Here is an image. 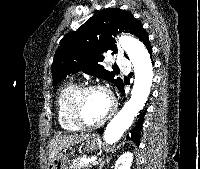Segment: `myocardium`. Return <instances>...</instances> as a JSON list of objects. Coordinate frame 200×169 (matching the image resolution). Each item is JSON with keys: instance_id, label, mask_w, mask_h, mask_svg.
Segmentation results:
<instances>
[{"instance_id": "1", "label": "myocardium", "mask_w": 200, "mask_h": 169, "mask_svg": "<svg viewBox=\"0 0 200 169\" xmlns=\"http://www.w3.org/2000/svg\"><path fill=\"white\" fill-rule=\"evenodd\" d=\"M93 91H100L105 93L110 101V109L108 113L98 122L94 124H88L84 121L83 115H82V105L85 97L93 92ZM116 101L109 89L102 85H88L79 90L77 95L75 96L72 104V112H73V117L77 125L79 126L80 129L82 130H94L102 125H104L115 113L116 111Z\"/></svg>"}]
</instances>
